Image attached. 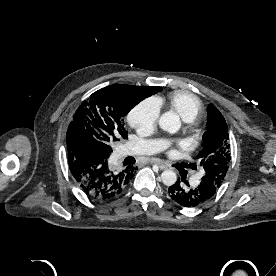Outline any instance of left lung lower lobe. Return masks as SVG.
<instances>
[{
	"label": "left lung lower lobe",
	"instance_id": "obj_1",
	"mask_svg": "<svg viewBox=\"0 0 276 276\" xmlns=\"http://www.w3.org/2000/svg\"><path fill=\"white\" fill-rule=\"evenodd\" d=\"M184 184L189 187V183L184 178L181 180L178 179L174 185L169 187L168 193L175 202L187 208L202 205L207 202L217 190L213 182L208 179H202L201 183L195 188H186Z\"/></svg>",
	"mask_w": 276,
	"mask_h": 276
}]
</instances>
